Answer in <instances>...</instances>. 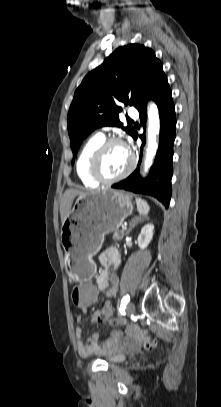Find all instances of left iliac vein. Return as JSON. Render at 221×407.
<instances>
[{
	"instance_id": "1",
	"label": "left iliac vein",
	"mask_w": 221,
	"mask_h": 407,
	"mask_svg": "<svg viewBox=\"0 0 221 407\" xmlns=\"http://www.w3.org/2000/svg\"><path fill=\"white\" fill-rule=\"evenodd\" d=\"M134 311H135V305H134V303L130 302V303L127 305L126 313H127V315L129 316V315L133 314Z\"/></svg>"
}]
</instances>
